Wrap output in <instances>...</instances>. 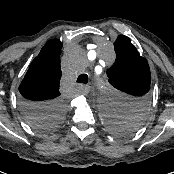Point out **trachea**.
I'll list each match as a JSON object with an SVG mask.
<instances>
[{"label":"trachea","mask_w":174,"mask_h":174,"mask_svg":"<svg viewBox=\"0 0 174 174\" xmlns=\"http://www.w3.org/2000/svg\"><path fill=\"white\" fill-rule=\"evenodd\" d=\"M78 83H83V84H87L88 83V75L87 74H81L78 79H77Z\"/></svg>","instance_id":"trachea-1"}]
</instances>
